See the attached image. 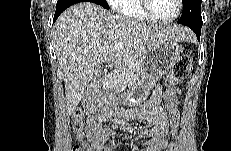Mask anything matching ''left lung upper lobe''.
<instances>
[{"label":"left lung upper lobe","instance_id":"obj_1","mask_svg":"<svg viewBox=\"0 0 231 151\" xmlns=\"http://www.w3.org/2000/svg\"><path fill=\"white\" fill-rule=\"evenodd\" d=\"M202 0H183V11L179 24L189 26L191 24H203L201 17Z\"/></svg>","mask_w":231,"mask_h":151}]
</instances>
